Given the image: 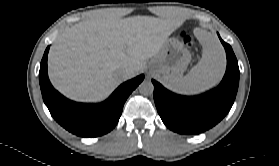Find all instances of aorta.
Here are the masks:
<instances>
[{"mask_svg": "<svg viewBox=\"0 0 279 166\" xmlns=\"http://www.w3.org/2000/svg\"><path fill=\"white\" fill-rule=\"evenodd\" d=\"M139 92L142 95H151L154 90V86L151 81L149 80H144L138 87Z\"/></svg>", "mask_w": 279, "mask_h": 166, "instance_id": "762f6f07", "label": "aorta"}]
</instances>
